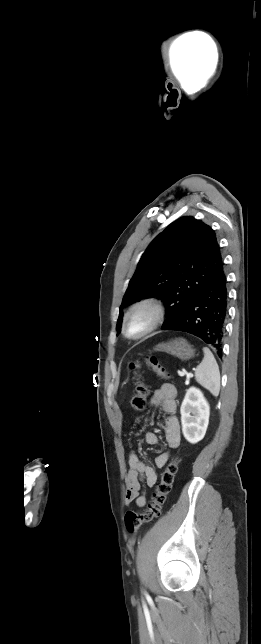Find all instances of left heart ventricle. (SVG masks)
I'll return each mask as SVG.
<instances>
[{
    "label": "left heart ventricle",
    "mask_w": 261,
    "mask_h": 644,
    "mask_svg": "<svg viewBox=\"0 0 261 644\" xmlns=\"http://www.w3.org/2000/svg\"><path fill=\"white\" fill-rule=\"evenodd\" d=\"M150 321V313L147 310H139L133 314L129 323L130 334L141 332Z\"/></svg>",
    "instance_id": "1"
}]
</instances>
